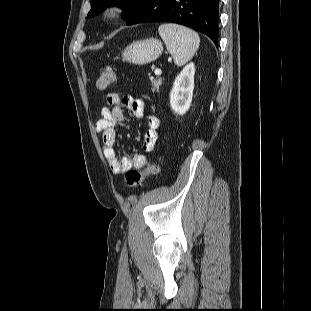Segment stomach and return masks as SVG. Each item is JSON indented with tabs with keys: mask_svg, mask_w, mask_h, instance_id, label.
<instances>
[{
	"mask_svg": "<svg viewBox=\"0 0 311 311\" xmlns=\"http://www.w3.org/2000/svg\"><path fill=\"white\" fill-rule=\"evenodd\" d=\"M163 51V45L156 38L134 41L122 52L124 61L136 65H144L155 61Z\"/></svg>",
	"mask_w": 311,
	"mask_h": 311,
	"instance_id": "stomach-1",
	"label": "stomach"
}]
</instances>
